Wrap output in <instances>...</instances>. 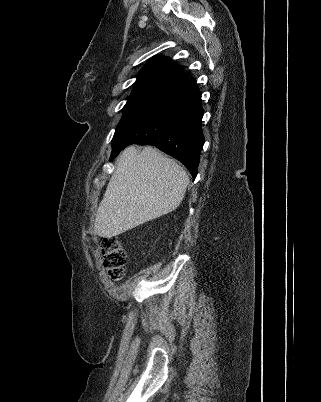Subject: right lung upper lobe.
Listing matches in <instances>:
<instances>
[{
	"mask_svg": "<svg viewBox=\"0 0 321 402\" xmlns=\"http://www.w3.org/2000/svg\"><path fill=\"white\" fill-rule=\"evenodd\" d=\"M188 79V76L179 69L178 65L163 56L152 58L139 72L134 88L148 84H163L175 87Z\"/></svg>",
	"mask_w": 321,
	"mask_h": 402,
	"instance_id": "1",
	"label": "right lung upper lobe"
}]
</instances>
